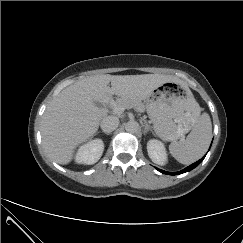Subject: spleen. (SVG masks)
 I'll return each instance as SVG.
<instances>
[{"label":"spleen","mask_w":243,"mask_h":243,"mask_svg":"<svg viewBox=\"0 0 243 243\" xmlns=\"http://www.w3.org/2000/svg\"><path fill=\"white\" fill-rule=\"evenodd\" d=\"M198 117L192 131L186 139L174 141L169 146L171 155L182 164H191L199 160L207 151L212 138L211 119L207 113L200 115L197 104Z\"/></svg>","instance_id":"obj_1"}]
</instances>
